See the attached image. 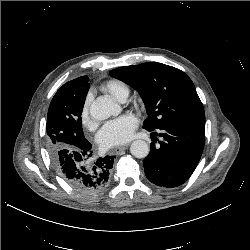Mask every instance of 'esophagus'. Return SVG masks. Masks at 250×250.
Masks as SVG:
<instances>
[{
    "label": "esophagus",
    "instance_id": "esophagus-1",
    "mask_svg": "<svg viewBox=\"0 0 250 250\" xmlns=\"http://www.w3.org/2000/svg\"><path fill=\"white\" fill-rule=\"evenodd\" d=\"M128 146H129V145L126 144V145H123V146L115 147V148L112 150V152L115 153V154H118L120 151L127 149Z\"/></svg>",
    "mask_w": 250,
    "mask_h": 250
}]
</instances>
